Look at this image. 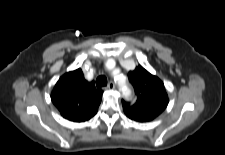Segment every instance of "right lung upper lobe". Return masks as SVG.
Instances as JSON below:
<instances>
[{
	"mask_svg": "<svg viewBox=\"0 0 225 155\" xmlns=\"http://www.w3.org/2000/svg\"><path fill=\"white\" fill-rule=\"evenodd\" d=\"M102 93L101 89L95 88L94 82L85 80L79 68L64 74L58 80L51 100L65 119L84 122L96 114Z\"/></svg>",
	"mask_w": 225,
	"mask_h": 155,
	"instance_id": "obj_1",
	"label": "right lung upper lobe"
}]
</instances>
